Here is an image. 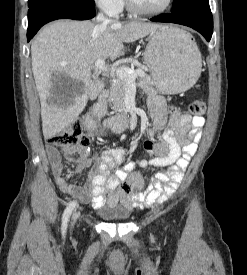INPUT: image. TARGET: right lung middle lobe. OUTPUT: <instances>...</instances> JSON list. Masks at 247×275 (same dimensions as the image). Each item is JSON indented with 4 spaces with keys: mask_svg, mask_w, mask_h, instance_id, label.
Returning <instances> with one entry per match:
<instances>
[{
    "mask_svg": "<svg viewBox=\"0 0 247 275\" xmlns=\"http://www.w3.org/2000/svg\"><path fill=\"white\" fill-rule=\"evenodd\" d=\"M50 2H64L76 6H83V7H95L94 0H29L28 7L37 6L40 4H46Z\"/></svg>",
    "mask_w": 247,
    "mask_h": 275,
    "instance_id": "dd1d6c3e",
    "label": "right lung middle lobe"
}]
</instances>
